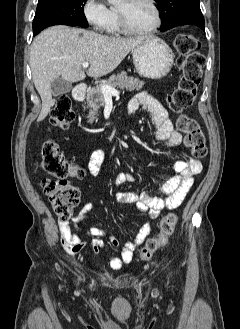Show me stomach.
I'll use <instances>...</instances> for the list:
<instances>
[{
  "instance_id": "stomach-1",
  "label": "stomach",
  "mask_w": 240,
  "mask_h": 329,
  "mask_svg": "<svg viewBox=\"0 0 240 329\" xmlns=\"http://www.w3.org/2000/svg\"><path fill=\"white\" fill-rule=\"evenodd\" d=\"M132 56L138 73L151 79L166 76L175 58L171 48L155 36L143 38L141 43L132 50Z\"/></svg>"
}]
</instances>
